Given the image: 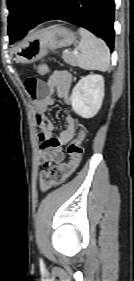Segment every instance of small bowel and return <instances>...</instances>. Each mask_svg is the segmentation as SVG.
<instances>
[{
  "instance_id": "1",
  "label": "small bowel",
  "mask_w": 134,
  "mask_h": 281,
  "mask_svg": "<svg viewBox=\"0 0 134 281\" xmlns=\"http://www.w3.org/2000/svg\"><path fill=\"white\" fill-rule=\"evenodd\" d=\"M71 82V75L65 71H54L47 81L29 77L24 82L27 92L34 100L36 122L40 128V163L44 166L63 162L65 158L63 146L73 138L76 130L75 119L67 116L64 129L55 135L53 123L46 114L48 108L54 104V95L65 104H69Z\"/></svg>"
}]
</instances>
